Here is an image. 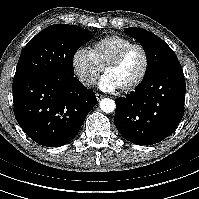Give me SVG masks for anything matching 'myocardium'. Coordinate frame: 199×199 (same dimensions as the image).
Segmentation results:
<instances>
[{"label": "myocardium", "instance_id": "obj_1", "mask_svg": "<svg viewBox=\"0 0 199 199\" xmlns=\"http://www.w3.org/2000/svg\"><path fill=\"white\" fill-rule=\"evenodd\" d=\"M133 48H139L142 51L144 57V66L142 72L134 82L120 89L124 93H129L136 90L146 79L150 66V57L146 47L141 43H131L125 46L103 67L102 71L105 73L107 70L117 67L125 55Z\"/></svg>", "mask_w": 199, "mask_h": 199}]
</instances>
